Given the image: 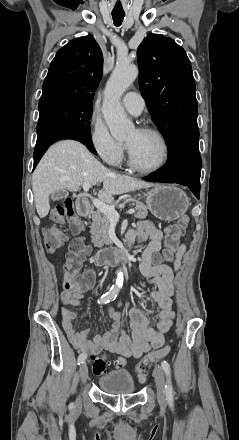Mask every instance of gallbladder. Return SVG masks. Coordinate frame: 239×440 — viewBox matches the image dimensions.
<instances>
[{
    "label": "gallbladder",
    "mask_w": 239,
    "mask_h": 440,
    "mask_svg": "<svg viewBox=\"0 0 239 440\" xmlns=\"http://www.w3.org/2000/svg\"><path fill=\"white\" fill-rule=\"evenodd\" d=\"M68 192L66 190H55L53 194H51V200H63V198H67Z\"/></svg>",
    "instance_id": "bac80fb5"
}]
</instances>
